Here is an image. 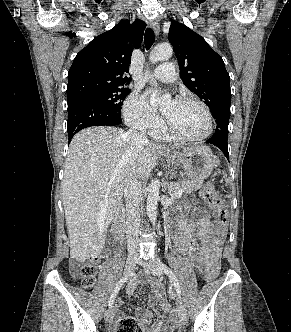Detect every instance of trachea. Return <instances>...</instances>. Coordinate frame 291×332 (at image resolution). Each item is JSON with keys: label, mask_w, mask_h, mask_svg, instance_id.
Here are the masks:
<instances>
[{"label": "trachea", "mask_w": 291, "mask_h": 332, "mask_svg": "<svg viewBox=\"0 0 291 332\" xmlns=\"http://www.w3.org/2000/svg\"><path fill=\"white\" fill-rule=\"evenodd\" d=\"M155 40V35H154V31L151 28H147L145 31V47L147 50H149L151 48V46L153 45Z\"/></svg>", "instance_id": "3493384b"}]
</instances>
